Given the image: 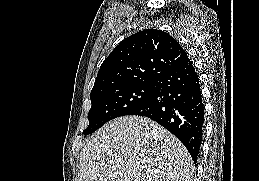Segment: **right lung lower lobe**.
Segmentation results:
<instances>
[{"label":"right lung lower lobe","instance_id":"obj_1","mask_svg":"<svg viewBox=\"0 0 259 181\" xmlns=\"http://www.w3.org/2000/svg\"><path fill=\"white\" fill-rule=\"evenodd\" d=\"M130 115L148 117L173 133L196 162L203 134L204 106L198 75L189 58L154 82L148 100Z\"/></svg>","mask_w":259,"mask_h":181}]
</instances>
